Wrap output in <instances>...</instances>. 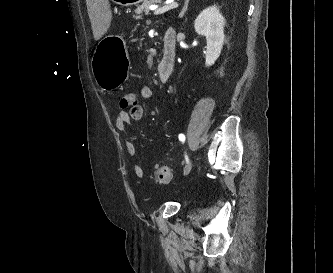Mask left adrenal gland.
<instances>
[{"label":"left adrenal gland","instance_id":"a2214340","mask_svg":"<svg viewBox=\"0 0 333 273\" xmlns=\"http://www.w3.org/2000/svg\"><path fill=\"white\" fill-rule=\"evenodd\" d=\"M188 3H189V0H186L185 4L183 6V9H182V11L179 14V18H182L184 16L185 12L187 11Z\"/></svg>","mask_w":333,"mask_h":273}]
</instances>
